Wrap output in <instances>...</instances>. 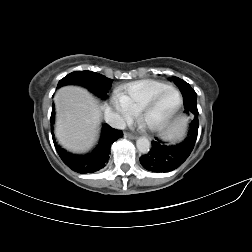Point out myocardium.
<instances>
[{"mask_svg": "<svg viewBox=\"0 0 252 252\" xmlns=\"http://www.w3.org/2000/svg\"><path fill=\"white\" fill-rule=\"evenodd\" d=\"M172 93L176 97V102L174 106L170 109V111L162 117L160 120L154 122V123H145L144 122V116L149 113L156 104H158L167 94ZM182 105V97L180 93L172 88L169 87L166 90L161 91L157 95L150 98L148 101H146L138 110H137V118L138 121L149 131L152 132H158L163 129H165L173 120V118L176 116L177 112L179 111L180 107Z\"/></svg>", "mask_w": 252, "mask_h": 252, "instance_id": "myocardium-1", "label": "myocardium"}]
</instances>
